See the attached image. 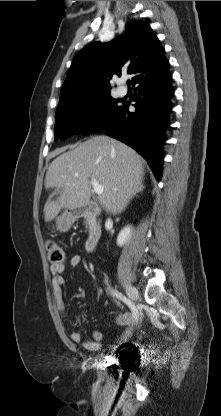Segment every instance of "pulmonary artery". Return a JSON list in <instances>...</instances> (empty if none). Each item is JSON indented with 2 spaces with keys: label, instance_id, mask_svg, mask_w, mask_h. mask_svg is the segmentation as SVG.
I'll return each mask as SVG.
<instances>
[{
  "label": "pulmonary artery",
  "instance_id": "pulmonary-artery-1",
  "mask_svg": "<svg viewBox=\"0 0 221 416\" xmlns=\"http://www.w3.org/2000/svg\"><path fill=\"white\" fill-rule=\"evenodd\" d=\"M120 95H125L127 93V91L125 89H120Z\"/></svg>",
  "mask_w": 221,
  "mask_h": 416
}]
</instances>
